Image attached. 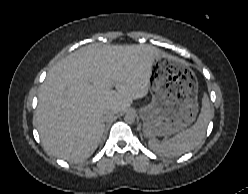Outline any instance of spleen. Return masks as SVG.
<instances>
[{
	"mask_svg": "<svg viewBox=\"0 0 248 194\" xmlns=\"http://www.w3.org/2000/svg\"><path fill=\"white\" fill-rule=\"evenodd\" d=\"M211 113L212 108L209 98L204 94L201 112L196 123L191 128L165 141L160 142L155 138L150 139L148 142L150 149L167 157L179 156L194 149L204 139Z\"/></svg>",
	"mask_w": 248,
	"mask_h": 194,
	"instance_id": "1",
	"label": "spleen"
}]
</instances>
